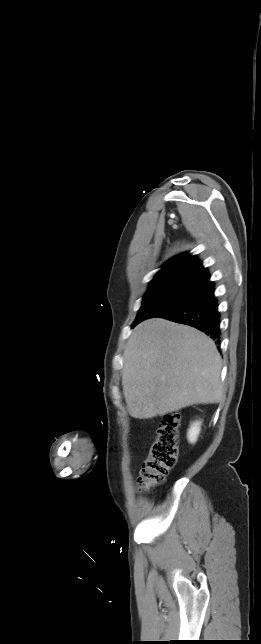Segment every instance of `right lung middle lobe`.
<instances>
[{
	"mask_svg": "<svg viewBox=\"0 0 261 644\" xmlns=\"http://www.w3.org/2000/svg\"><path fill=\"white\" fill-rule=\"evenodd\" d=\"M200 287L201 284L184 280L151 283L132 327L145 319L160 317L178 307L189 300Z\"/></svg>",
	"mask_w": 261,
	"mask_h": 644,
	"instance_id": "right-lung-middle-lobe-1",
	"label": "right lung middle lobe"
}]
</instances>
